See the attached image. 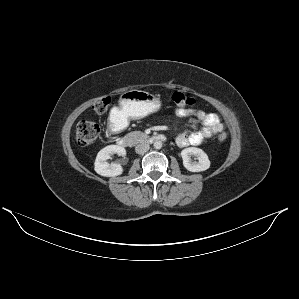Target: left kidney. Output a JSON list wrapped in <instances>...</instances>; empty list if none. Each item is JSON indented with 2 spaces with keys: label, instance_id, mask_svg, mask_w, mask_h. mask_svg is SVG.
Here are the masks:
<instances>
[{
  "label": "left kidney",
  "instance_id": "1",
  "mask_svg": "<svg viewBox=\"0 0 299 299\" xmlns=\"http://www.w3.org/2000/svg\"><path fill=\"white\" fill-rule=\"evenodd\" d=\"M196 156L198 163L190 161L191 156ZM184 167L191 172L205 171L210 167V160L208 155L200 148L189 147L181 151Z\"/></svg>",
  "mask_w": 299,
  "mask_h": 299
}]
</instances>
